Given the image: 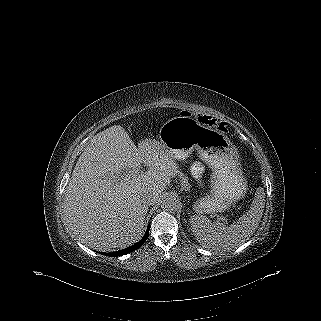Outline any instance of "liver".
<instances>
[{"mask_svg": "<svg viewBox=\"0 0 321 321\" xmlns=\"http://www.w3.org/2000/svg\"><path fill=\"white\" fill-rule=\"evenodd\" d=\"M144 163L148 171L135 173ZM179 174L178 166L154 141L138 146L125 129L114 125L95 135L80 155L64 196V216L83 244L99 251H115L137 242L148 207Z\"/></svg>", "mask_w": 321, "mask_h": 321, "instance_id": "6515ba94", "label": "liver"}]
</instances>
